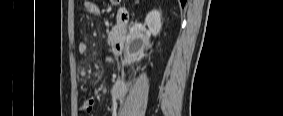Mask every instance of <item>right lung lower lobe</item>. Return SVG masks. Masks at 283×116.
Segmentation results:
<instances>
[{
    "mask_svg": "<svg viewBox=\"0 0 283 116\" xmlns=\"http://www.w3.org/2000/svg\"><path fill=\"white\" fill-rule=\"evenodd\" d=\"M180 1H181L182 6H184L186 0H180Z\"/></svg>",
    "mask_w": 283,
    "mask_h": 116,
    "instance_id": "obj_1",
    "label": "right lung lower lobe"
}]
</instances>
